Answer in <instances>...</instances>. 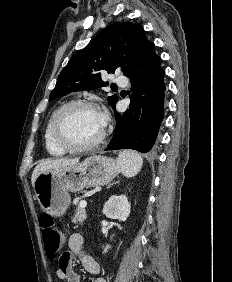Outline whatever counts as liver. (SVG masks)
Returning <instances> with one entry per match:
<instances>
[{"instance_id": "6515ba94", "label": "liver", "mask_w": 232, "mask_h": 282, "mask_svg": "<svg viewBox=\"0 0 232 282\" xmlns=\"http://www.w3.org/2000/svg\"><path fill=\"white\" fill-rule=\"evenodd\" d=\"M79 162V159H48L41 161L34 169L31 177L32 186H34L35 180L38 175L42 172L51 170V169H58L62 167L73 166Z\"/></svg>"}]
</instances>
